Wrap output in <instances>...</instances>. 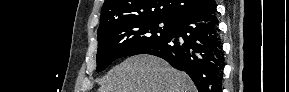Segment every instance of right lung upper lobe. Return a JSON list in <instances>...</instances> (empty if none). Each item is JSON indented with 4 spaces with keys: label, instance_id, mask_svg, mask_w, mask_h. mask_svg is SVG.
Listing matches in <instances>:
<instances>
[{
    "label": "right lung upper lobe",
    "instance_id": "cb5924a9",
    "mask_svg": "<svg viewBox=\"0 0 289 92\" xmlns=\"http://www.w3.org/2000/svg\"><path fill=\"white\" fill-rule=\"evenodd\" d=\"M214 0H105L98 31L116 23L157 18L173 21L182 15L207 7Z\"/></svg>",
    "mask_w": 289,
    "mask_h": 92
}]
</instances>
